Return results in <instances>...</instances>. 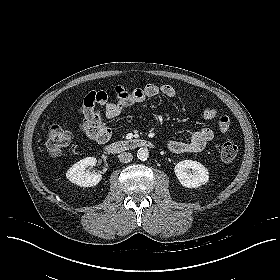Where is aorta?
Masks as SVG:
<instances>
[{
    "instance_id": "762f6f07",
    "label": "aorta",
    "mask_w": 280,
    "mask_h": 280,
    "mask_svg": "<svg viewBox=\"0 0 280 280\" xmlns=\"http://www.w3.org/2000/svg\"><path fill=\"white\" fill-rule=\"evenodd\" d=\"M137 157L141 161H145L149 158V150L147 148H139L137 151Z\"/></svg>"
}]
</instances>
